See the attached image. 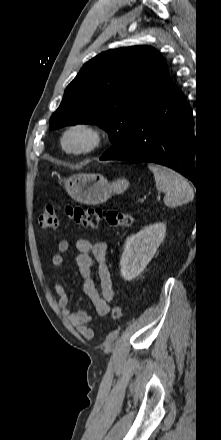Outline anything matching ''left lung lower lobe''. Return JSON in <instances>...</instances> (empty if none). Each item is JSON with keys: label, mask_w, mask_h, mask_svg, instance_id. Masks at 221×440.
<instances>
[{"label": "left lung lower lobe", "mask_w": 221, "mask_h": 440, "mask_svg": "<svg viewBox=\"0 0 221 440\" xmlns=\"http://www.w3.org/2000/svg\"><path fill=\"white\" fill-rule=\"evenodd\" d=\"M193 127L192 109L183 93L170 81L136 122L127 149L117 157L102 155L100 160L162 164L195 184L191 151L197 145Z\"/></svg>", "instance_id": "0a47b994"}]
</instances>
